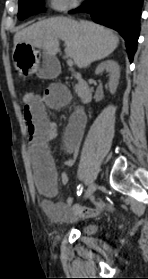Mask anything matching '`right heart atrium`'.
<instances>
[{"label": "right heart atrium", "mask_w": 148, "mask_h": 279, "mask_svg": "<svg viewBox=\"0 0 148 279\" xmlns=\"http://www.w3.org/2000/svg\"><path fill=\"white\" fill-rule=\"evenodd\" d=\"M79 0H50V7L56 11H67L78 6Z\"/></svg>", "instance_id": "1"}]
</instances>
